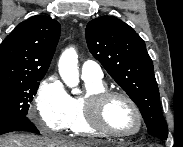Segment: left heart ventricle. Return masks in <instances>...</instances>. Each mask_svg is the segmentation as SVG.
Segmentation results:
<instances>
[{"label": "left heart ventricle", "mask_w": 183, "mask_h": 147, "mask_svg": "<svg viewBox=\"0 0 183 147\" xmlns=\"http://www.w3.org/2000/svg\"><path fill=\"white\" fill-rule=\"evenodd\" d=\"M104 118L110 128L122 133L137 130L138 120L131 106L124 99L115 97L104 107Z\"/></svg>", "instance_id": "b2bd125f"}]
</instances>
